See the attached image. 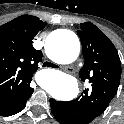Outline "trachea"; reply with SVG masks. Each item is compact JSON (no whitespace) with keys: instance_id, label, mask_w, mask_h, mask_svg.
<instances>
[{"instance_id":"3493384b","label":"trachea","mask_w":124,"mask_h":124,"mask_svg":"<svg viewBox=\"0 0 124 124\" xmlns=\"http://www.w3.org/2000/svg\"><path fill=\"white\" fill-rule=\"evenodd\" d=\"M47 64H51V63L47 62ZM51 65H53V64H51ZM51 65H47V66H51ZM51 67H52V66H51Z\"/></svg>"}]
</instances>
